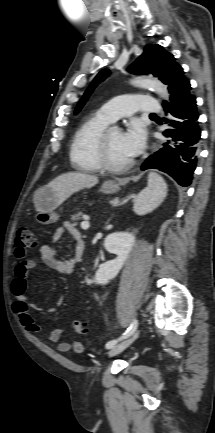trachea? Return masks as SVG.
Wrapping results in <instances>:
<instances>
[{
    "instance_id": "trachea-1",
    "label": "trachea",
    "mask_w": 215,
    "mask_h": 433,
    "mask_svg": "<svg viewBox=\"0 0 215 433\" xmlns=\"http://www.w3.org/2000/svg\"><path fill=\"white\" fill-rule=\"evenodd\" d=\"M150 116H155V114H151Z\"/></svg>"
}]
</instances>
